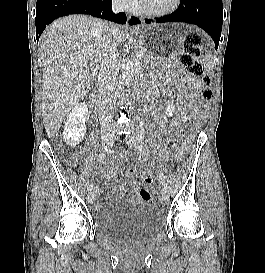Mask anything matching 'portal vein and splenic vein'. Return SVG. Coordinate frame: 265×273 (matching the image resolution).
Listing matches in <instances>:
<instances>
[{
  "instance_id": "18ae733b",
  "label": "portal vein and splenic vein",
  "mask_w": 265,
  "mask_h": 273,
  "mask_svg": "<svg viewBox=\"0 0 265 273\" xmlns=\"http://www.w3.org/2000/svg\"><path fill=\"white\" fill-rule=\"evenodd\" d=\"M143 54L141 52H139L138 56L141 57Z\"/></svg>"
}]
</instances>
